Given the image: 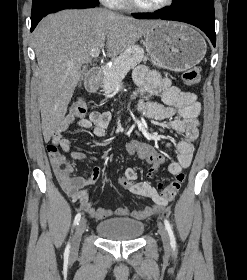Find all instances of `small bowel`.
<instances>
[{
    "label": "small bowel",
    "mask_w": 247,
    "mask_h": 280,
    "mask_svg": "<svg viewBox=\"0 0 247 280\" xmlns=\"http://www.w3.org/2000/svg\"><path fill=\"white\" fill-rule=\"evenodd\" d=\"M134 81L138 86L136 94L148 93L150 95L159 96L161 102L139 101L137 108L147 118L152 120H169L168 127L177 133L185 135L177 145L178 156L176 161L168 164V171L172 175L182 172L190 166L195 150L194 142L199 136L200 104L196 95L190 91H184L173 85L168 79L163 78L158 72L150 71L145 66H139L134 71ZM177 118H174L175 116ZM112 119L110 112H92L88 118H82L78 121V126L82 129H92L97 137H103L106 134L107 127ZM74 116L67 114L58 124L57 128L52 132L50 139L51 144L57 149L69 154L74 161L91 158L96 160L94 156H89L81 151H71L70 142L63 137V133L73 122ZM169 146V144H166ZM101 169L95 166L91 174L83 173L79 176H70L68 178L58 177L59 183L66 194L75 202H78L81 209L88 213L91 217L103 220L113 216H128L141 220L156 213L160 208L166 206L168 201L161 196L156 189L148 182H136L137 172L133 168H128L124 176L133 181L131 188H126L131 193L149 198L153 201V205L143 209H135L130 211L126 207L116 209L95 208L90 201L89 191L86 186L94 184L100 177ZM131 174V176H129Z\"/></svg>",
    "instance_id": "c3829d8e"
}]
</instances>
